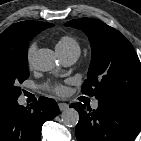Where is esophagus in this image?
<instances>
[{
    "label": "esophagus",
    "mask_w": 141,
    "mask_h": 141,
    "mask_svg": "<svg viewBox=\"0 0 141 141\" xmlns=\"http://www.w3.org/2000/svg\"><path fill=\"white\" fill-rule=\"evenodd\" d=\"M60 111H65L69 108L68 104L66 103H59L58 104Z\"/></svg>",
    "instance_id": "esophagus-1"
}]
</instances>
